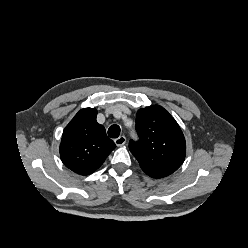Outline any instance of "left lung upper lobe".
Wrapping results in <instances>:
<instances>
[{"label": "left lung upper lobe", "mask_w": 248, "mask_h": 248, "mask_svg": "<svg viewBox=\"0 0 248 248\" xmlns=\"http://www.w3.org/2000/svg\"><path fill=\"white\" fill-rule=\"evenodd\" d=\"M137 142L130 140L129 149L142 170L154 178L166 177L184 162L186 143L175 119L159 105L138 110Z\"/></svg>", "instance_id": "obj_1"}]
</instances>
